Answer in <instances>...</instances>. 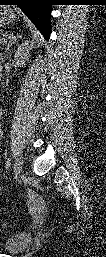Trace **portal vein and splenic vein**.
Masks as SVG:
<instances>
[{"label": "portal vein and splenic vein", "instance_id": "1", "mask_svg": "<svg viewBox=\"0 0 106 257\" xmlns=\"http://www.w3.org/2000/svg\"><path fill=\"white\" fill-rule=\"evenodd\" d=\"M1 42H5V40L3 39Z\"/></svg>", "mask_w": 106, "mask_h": 257}]
</instances>
